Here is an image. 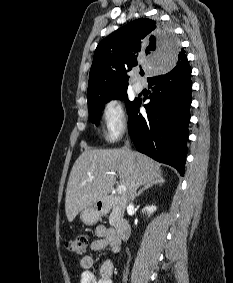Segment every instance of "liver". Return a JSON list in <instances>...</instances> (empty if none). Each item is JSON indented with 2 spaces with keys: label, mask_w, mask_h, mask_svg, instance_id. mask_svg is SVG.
<instances>
[{
  "label": "liver",
  "mask_w": 233,
  "mask_h": 283,
  "mask_svg": "<svg viewBox=\"0 0 233 283\" xmlns=\"http://www.w3.org/2000/svg\"><path fill=\"white\" fill-rule=\"evenodd\" d=\"M116 173L125 192L133 186L156 184L162 178L160 164L139 152L86 149L75 161L68 179L65 211L69 222L83 209L108 197L116 182Z\"/></svg>",
  "instance_id": "obj_1"
}]
</instances>
